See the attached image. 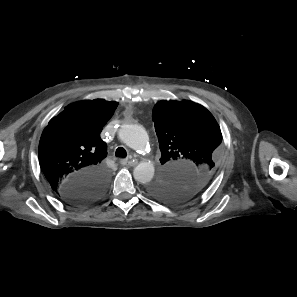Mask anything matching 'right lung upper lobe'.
<instances>
[{
    "label": "right lung upper lobe",
    "mask_w": 297,
    "mask_h": 297,
    "mask_svg": "<svg viewBox=\"0 0 297 297\" xmlns=\"http://www.w3.org/2000/svg\"><path fill=\"white\" fill-rule=\"evenodd\" d=\"M117 105L103 99L76 102L50 120L38 153L41 169L56 193L78 173L106 170L102 160L107 145L100 133Z\"/></svg>",
    "instance_id": "1"
}]
</instances>
